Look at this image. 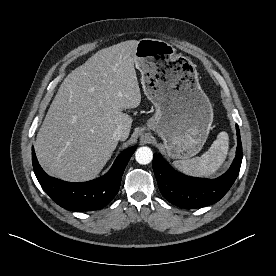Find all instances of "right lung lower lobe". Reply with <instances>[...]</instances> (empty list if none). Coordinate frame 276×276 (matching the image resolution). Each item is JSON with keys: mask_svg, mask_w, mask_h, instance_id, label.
<instances>
[{"mask_svg": "<svg viewBox=\"0 0 276 276\" xmlns=\"http://www.w3.org/2000/svg\"><path fill=\"white\" fill-rule=\"evenodd\" d=\"M135 150L136 147H131L122 152L106 175L83 183H70L48 176L39 165L34 148L32 163L43 190L58 205L72 211L99 210L118 193L124 169Z\"/></svg>", "mask_w": 276, "mask_h": 276, "instance_id": "98d812e1", "label": "right lung lower lobe"}]
</instances>
